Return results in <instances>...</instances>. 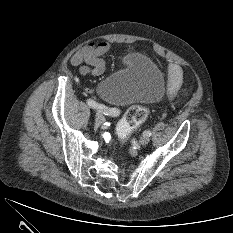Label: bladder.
<instances>
[{
	"instance_id": "31cf9c89",
	"label": "bladder",
	"mask_w": 233,
	"mask_h": 233,
	"mask_svg": "<svg viewBox=\"0 0 233 233\" xmlns=\"http://www.w3.org/2000/svg\"><path fill=\"white\" fill-rule=\"evenodd\" d=\"M99 96L114 106L155 103L164 95L165 82L160 68L145 54L133 52L124 65L102 80Z\"/></svg>"
}]
</instances>
